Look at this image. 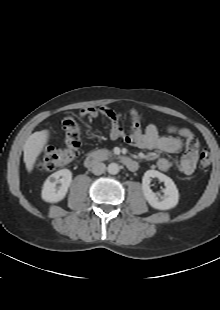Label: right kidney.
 Wrapping results in <instances>:
<instances>
[{
    "label": "right kidney",
    "mask_w": 220,
    "mask_h": 310,
    "mask_svg": "<svg viewBox=\"0 0 220 310\" xmlns=\"http://www.w3.org/2000/svg\"><path fill=\"white\" fill-rule=\"evenodd\" d=\"M72 181V172L61 169L51 174L44 182L41 197L44 201L57 203L63 200ZM60 184V185H57Z\"/></svg>",
    "instance_id": "1"
}]
</instances>
